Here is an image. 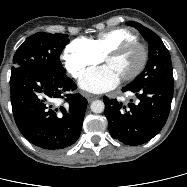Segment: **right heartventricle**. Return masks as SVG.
Here are the masks:
<instances>
[{"mask_svg": "<svg viewBox=\"0 0 187 187\" xmlns=\"http://www.w3.org/2000/svg\"><path fill=\"white\" fill-rule=\"evenodd\" d=\"M137 37L127 29L117 28L99 33L87 39L93 50L103 58L105 54L126 41H135Z\"/></svg>", "mask_w": 187, "mask_h": 187, "instance_id": "1", "label": "right heart ventricle"}]
</instances>
